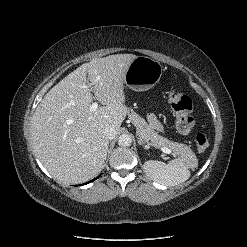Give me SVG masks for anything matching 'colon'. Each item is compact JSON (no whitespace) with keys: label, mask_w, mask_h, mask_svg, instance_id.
I'll use <instances>...</instances> for the list:
<instances>
[{"label":"colon","mask_w":247,"mask_h":247,"mask_svg":"<svg viewBox=\"0 0 247 247\" xmlns=\"http://www.w3.org/2000/svg\"><path fill=\"white\" fill-rule=\"evenodd\" d=\"M168 100L172 108L177 131L182 135L189 134L194 126V119L191 116V99L182 92L171 90L168 94ZM208 146L209 141L206 135L203 133L197 134L195 137V148L197 152H204Z\"/></svg>","instance_id":"colon-1"}]
</instances>
